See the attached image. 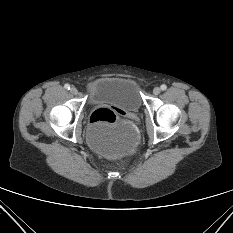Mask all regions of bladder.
Here are the masks:
<instances>
[{
    "label": "bladder",
    "mask_w": 233,
    "mask_h": 233,
    "mask_svg": "<svg viewBox=\"0 0 233 233\" xmlns=\"http://www.w3.org/2000/svg\"><path fill=\"white\" fill-rule=\"evenodd\" d=\"M88 97L94 105L108 104L135 112L142 105L139 87L128 77H104L88 86ZM139 133L131 122L121 123L109 131L90 129L87 143L96 154L106 158H118L131 153L137 146Z\"/></svg>",
    "instance_id": "31cf9c89"
}]
</instances>
